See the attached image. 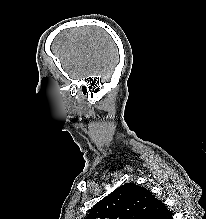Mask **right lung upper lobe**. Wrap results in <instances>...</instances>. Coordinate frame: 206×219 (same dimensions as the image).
I'll list each match as a JSON object with an SVG mask.
<instances>
[{
    "mask_svg": "<svg viewBox=\"0 0 206 219\" xmlns=\"http://www.w3.org/2000/svg\"><path fill=\"white\" fill-rule=\"evenodd\" d=\"M85 219H173L161 200L146 188L126 183L99 201Z\"/></svg>",
    "mask_w": 206,
    "mask_h": 219,
    "instance_id": "cb5924a9",
    "label": "right lung upper lobe"
}]
</instances>
